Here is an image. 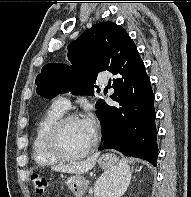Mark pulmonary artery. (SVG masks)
I'll use <instances>...</instances> for the list:
<instances>
[{"instance_id":"obj_1","label":"pulmonary artery","mask_w":191,"mask_h":197,"mask_svg":"<svg viewBox=\"0 0 191 197\" xmlns=\"http://www.w3.org/2000/svg\"><path fill=\"white\" fill-rule=\"evenodd\" d=\"M99 83H100V84H106V80H105V79H100V80H99ZM54 104H55L56 106H58L60 109H62L63 111H65L66 109L69 108V106H70V101H69L66 97H64V96H59V97L55 100Z\"/></svg>"}]
</instances>
